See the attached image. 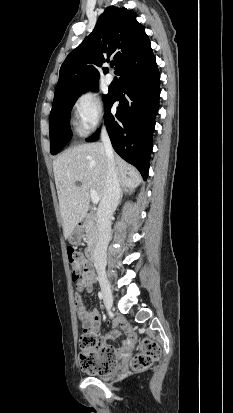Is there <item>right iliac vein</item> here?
<instances>
[{
	"mask_svg": "<svg viewBox=\"0 0 233 413\" xmlns=\"http://www.w3.org/2000/svg\"><path fill=\"white\" fill-rule=\"evenodd\" d=\"M100 286H101V290H102L103 297H104V303H105L106 307L108 309H110L112 307V304H113V297H112V293H111L110 284L106 279L101 278L100 279Z\"/></svg>",
	"mask_w": 233,
	"mask_h": 413,
	"instance_id": "1",
	"label": "right iliac vein"
}]
</instances>
